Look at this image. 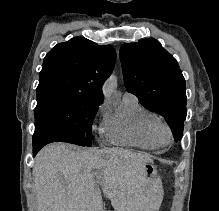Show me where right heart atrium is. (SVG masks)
Returning <instances> with one entry per match:
<instances>
[{
    "label": "right heart atrium",
    "instance_id": "right-heart-atrium-1",
    "mask_svg": "<svg viewBox=\"0 0 219 211\" xmlns=\"http://www.w3.org/2000/svg\"><path fill=\"white\" fill-rule=\"evenodd\" d=\"M106 109H107V105L104 103L102 105L99 106L98 110H97V113L100 114V113H105L106 112ZM104 126V124H103Z\"/></svg>",
    "mask_w": 219,
    "mask_h": 211
}]
</instances>
